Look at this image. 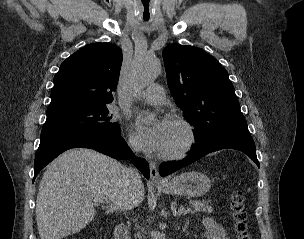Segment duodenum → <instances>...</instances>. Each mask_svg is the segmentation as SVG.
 Wrapping results in <instances>:
<instances>
[{
	"mask_svg": "<svg viewBox=\"0 0 304 239\" xmlns=\"http://www.w3.org/2000/svg\"><path fill=\"white\" fill-rule=\"evenodd\" d=\"M114 239H128V231L125 224H120L116 227Z\"/></svg>",
	"mask_w": 304,
	"mask_h": 239,
	"instance_id": "duodenum-1",
	"label": "duodenum"
}]
</instances>
